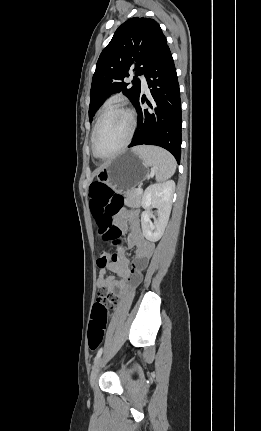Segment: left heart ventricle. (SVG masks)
<instances>
[{"label": "left heart ventricle", "mask_w": 261, "mask_h": 431, "mask_svg": "<svg viewBox=\"0 0 261 431\" xmlns=\"http://www.w3.org/2000/svg\"><path fill=\"white\" fill-rule=\"evenodd\" d=\"M129 118L119 109L106 113L96 137L97 152L106 156L117 150L125 141L129 132Z\"/></svg>", "instance_id": "b2bd125f"}]
</instances>
